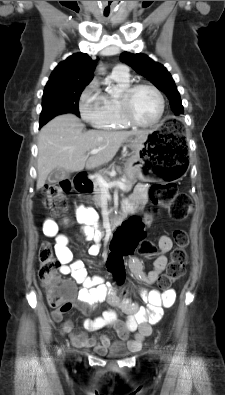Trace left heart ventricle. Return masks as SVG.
Returning <instances> with one entry per match:
<instances>
[{
  "label": "left heart ventricle",
  "mask_w": 225,
  "mask_h": 395,
  "mask_svg": "<svg viewBox=\"0 0 225 395\" xmlns=\"http://www.w3.org/2000/svg\"><path fill=\"white\" fill-rule=\"evenodd\" d=\"M133 117L141 123L154 121L159 113V101L155 93L149 89H139L131 101Z\"/></svg>",
  "instance_id": "obj_1"
}]
</instances>
